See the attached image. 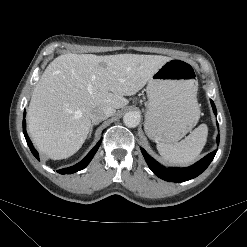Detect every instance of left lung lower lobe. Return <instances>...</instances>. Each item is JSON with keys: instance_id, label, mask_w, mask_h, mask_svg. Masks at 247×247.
<instances>
[{"instance_id": "left-lung-lower-lobe-1", "label": "left lung lower lobe", "mask_w": 247, "mask_h": 247, "mask_svg": "<svg viewBox=\"0 0 247 247\" xmlns=\"http://www.w3.org/2000/svg\"><path fill=\"white\" fill-rule=\"evenodd\" d=\"M211 104L213 107V111L215 114L216 107L211 100ZM218 125V123H217ZM217 143H219V135L217 137ZM141 152L149 166V168L152 170V172L157 175L159 178L169 181V182H184L188 181L190 179H193L200 175L211 163L213 160L216 151L209 153L204 158H202L200 161L195 163L194 165L186 168H166L159 164L157 161H155L143 148H141Z\"/></svg>"}]
</instances>
